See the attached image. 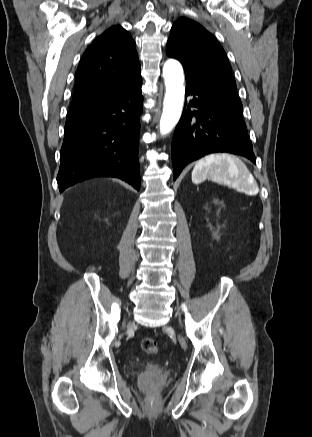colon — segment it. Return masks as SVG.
<instances>
[{"label":"colon","mask_w":312,"mask_h":437,"mask_svg":"<svg viewBox=\"0 0 312 437\" xmlns=\"http://www.w3.org/2000/svg\"><path fill=\"white\" fill-rule=\"evenodd\" d=\"M141 348L142 350L150 355H156L159 352V347L157 342L152 338H145L141 341ZM152 399H155V397H151Z\"/></svg>","instance_id":"obj_1"}]
</instances>
